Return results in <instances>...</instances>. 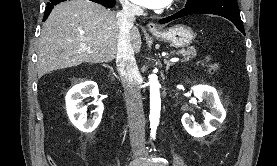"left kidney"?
<instances>
[{
	"mask_svg": "<svg viewBox=\"0 0 277 166\" xmlns=\"http://www.w3.org/2000/svg\"><path fill=\"white\" fill-rule=\"evenodd\" d=\"M196 98L200 101H206L210 112L206 113V119L203 124L196 125L191 122L188 114L182 117V124L185 130L193 137H203L216 130V127L224 121L226 117L225 109L223 108L217 91L207 85H197L191 88Z\"/></svg>",
	"mask_w": 277,
	"mask_h": 166,
	"instance_id": "obj_1",
	"label": "left kidney"
}]
</instances>
